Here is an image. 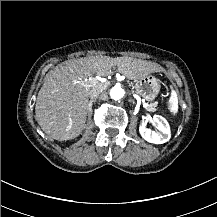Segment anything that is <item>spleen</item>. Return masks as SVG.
<instances>
[{
  "label": "spleen",
  "mask_w": 217,
  "mask_h": 217,
  "mask_svg": "<svg viewBox=\"0 0 217 217\" xmlns=\"http://www.w3.org/2000/svg\"><path fill=\"white\" fill-rule=\"evenodd\" d=\"M168 106L171 109H176L179 106V97L176 94H171L168 97Z\"/></svg>",
  "instance_id": "obj_1"
}]
</instances>
